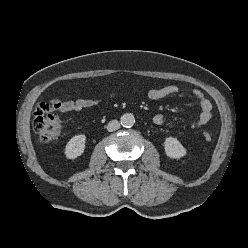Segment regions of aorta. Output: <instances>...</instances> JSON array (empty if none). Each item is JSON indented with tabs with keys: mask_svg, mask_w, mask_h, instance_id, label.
<instances>
[{
	"mask_svg": "<svg viewBox=\"0 0 248 248\" xmlns=\"http://www.w3.org/2000/svg\"><path fill=\"white\" fill-rule=\"evenodd\" d=\"M121 125L126 128H130L135 124V118L132 113L123 114L120 118Z\"/></svg>",
	"mask_w": 248,
	"mask_h": 248,
	"instance_id": "1",
	"label": "aorta"
}]
</instances>
